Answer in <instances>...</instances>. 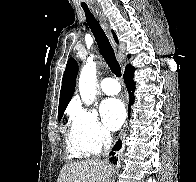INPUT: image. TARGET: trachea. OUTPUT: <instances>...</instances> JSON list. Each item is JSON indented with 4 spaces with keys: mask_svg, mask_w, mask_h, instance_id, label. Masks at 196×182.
<instances>
[{
    "mask_svg": "<svg viewBox=\"0 0 196 182\" xmlns=\"http://www.w3.org/2000/svg\"><path fill=\"white\" fill-rule=\"evenodd\" d=\"M83 9L85 11L87 24L95 37L99 50L101 54L103 55L107 65L117 77H121L120 64L116 59L114 50L105 32L103 31V29L101 28L100 24L95 19L93 14L90 12L89 8L86 6H83Z\"/></svg>",
    "mask_w": 196,
    "mask_h": 182,
    "instance_id": "1",
    "label": "trachea"
}]
</instances>
